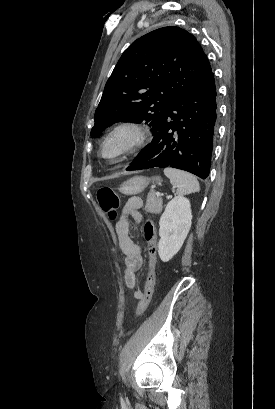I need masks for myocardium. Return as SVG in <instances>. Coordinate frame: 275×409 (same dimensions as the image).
Returning <instances> with one entry per match:
<instances>
[{
	"label": "myocardium",
	"mask_w": 275,
	"mask_h": 409,
	"mask_svg": "<svg viewBox=\"0 0 275 409\" xmlns=\"http://www.w3.org/2000/svg\"><path fill=\"white\" fill-rule=\"evenodd\" d=\"M145 139V131L141 125L135 122H124L115 126L106 136L101 145L103 157H122L138 147ZM118 143L114 153H108L107 149Z\"/></svg>",
	"instance_id": "obj_1"
}]
</instances>
